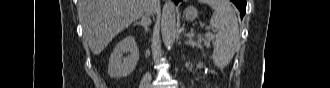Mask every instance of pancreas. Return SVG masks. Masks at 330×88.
I'll return each instance as SVG.
<instances>
[{
	"label": "pancreas",
	"instance_id": "1",
	"mask_svg": "<svg viewBox=\"0 0 330 88\" xmlns=\"http://www.w3.org/2000/svg\"><path fill=\"white\" fill-rule=\"evenodd\" d=\"M204 44H205L206 47H209L210 46L208 41H205ZM195 45L200 47V41H198L197 43H195Z\"/></svg>",
	"mask_w": 330,
	"mask_h": 88
}]
</instances>
